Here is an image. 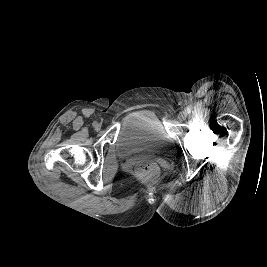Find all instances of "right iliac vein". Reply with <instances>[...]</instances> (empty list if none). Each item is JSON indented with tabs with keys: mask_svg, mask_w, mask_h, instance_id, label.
I'll use <instances>...</instances> for the list:
<instances>
[{
	"mask_svg": "<svg viewBox=\"0 0 267 267\" xmlns=\"http://www.w3.org/2000/svg\"><path fill=\"white\" fill-rule=\"evenodd\" d=\"M100 128H101L100 124L96 123L95 129L98 131V130H100Z\"/></svg>",
	"mask_w": 267,
	"mask_h": 267,
	"instance_id": "right-iliac-vein-1",
	"label": "right iliac vein"
}]
</instances>
